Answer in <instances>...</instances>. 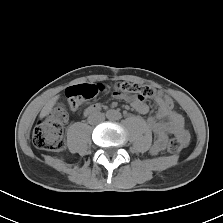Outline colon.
<instances>
[{"instance_id":"1","label":"colon","mask_w":223,"mask_h":223,"mask_svg":"<svg viewBox=\"0 0 223 223\" xmlns=\"http://www.w3.org/2000/svg\"><path fill=\"white\" fill-rule=\"evenodd\" d=\"M110 91L115 96L135 95L140 100L159 97L168 109L176 108L177 103L167 91H158L155 88L133 82H117L112 87L102 84H79L71 86L66 91L70 107L73 110L80 108L82 103L92 100L100 92ZM68 120V113L63 105L56 106L43 120L39 121L33 129V144L43 150L51 152L62 151L65 147L63 125ZM182 149V143L177 137L168 142V150L177 154Z\"/></svg>"}]
</instances>
